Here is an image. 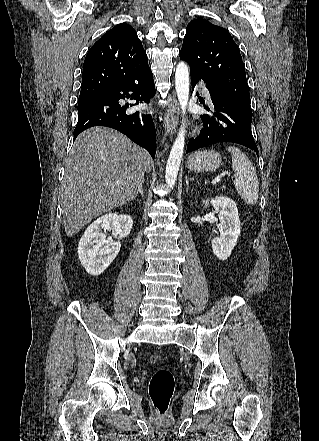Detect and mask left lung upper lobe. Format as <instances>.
Segmentation results:
<instances>
[{
	"mask_svg": "<svg viewBox=\"0 0 319 441\" xmlns=\"http://www.w3.org/2000/svg\"><path fill=\"white\" fill-rule=\"evenodd\" d=\"M179 56L191 74L252 111L242 57L228 31L202 18L191 21Z\"/></svg>",
	"mask_w": 319,
	"mask_h": 441,
	"instance_id": "5c2ea615",
	"label": "left lung upper lobe"
}]
</instances>
